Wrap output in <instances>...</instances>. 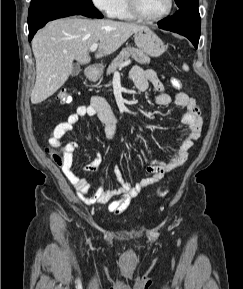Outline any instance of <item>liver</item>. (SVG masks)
<instances>
[{
	"mask_svg": "<svg viewBox=\"0 0 243 289\" xmlns=\"http://www.w3.org/2000/svg\"><path fill=\"white\" fill-rule=\"evenodd\" d=\"M145 26L109 19L62 18L49 22L32 40L36 81L31 103L52 96L68 79L73 60L88 64L89 49L98 43L96 58L114 53L131 35Z\"/></svg>",
	"mask_w": 243,
	"mask_h": 289,
	"instance_id": "liver-1",
	"label": "liver"
}]
</instances>
